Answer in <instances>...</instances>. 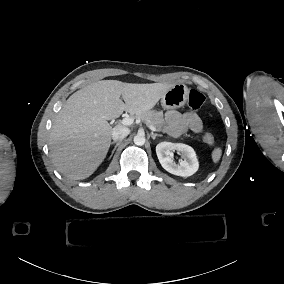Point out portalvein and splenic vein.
<instances>
[{"label":"portal vein and splenic vein","mask_w":284,"mask_h":284,"mask_svg":"<svg viewBox=\"0 0 284 284\" xmlns=\"http://www.w3.org/2000/svg\"><path fill=\"white\" fill-rule=\"evenodd\" d=\"M132 123H133V119H131V118L125 117L121 120V124L124 125V126H129ZM151 130L154 131V132L157 131V129L155 127H151Z\"/></svg>","instance_id":"portal-vein-and-splenic-vein-1"}]
</instances>
